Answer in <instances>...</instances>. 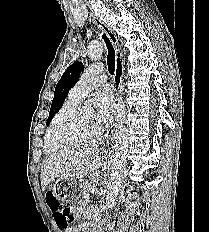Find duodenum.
<instances>
[{"instance_id":"duodenum-1","label":"duodenum","mask_w":209,"mask_h":232,"mask_svg":"<svg viewBox=\"0 0 209 232\" xmlns=\"http://www.w3.org/2000/svg\"><path fill=\"white\" fill-rule=\"evenodd\" d=\"M92 232H102L97 223L92 224Z\"/></svg>"}]
</instances>
